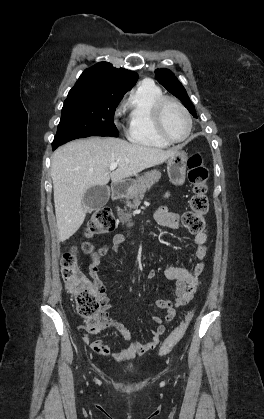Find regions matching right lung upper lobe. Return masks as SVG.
Wrapping results in <instances>:
<instances>
[{"label":"right lung upper lobe","instance_id":"right-lung-upper-lobe-1","mask_svg":"<svg viewBox=\"0 0 264 419\" xmlns=\"http://www.w3.org/2000/svg\"><path fill=\"white\" fill-rule=\"evenodd\" d=\"M138 74L117 69L108 62H100L86 69L72 89H86L113 95H124L136 83Z\"/></svg>","mask_w":264,"mask_h":419}]
</instances>
